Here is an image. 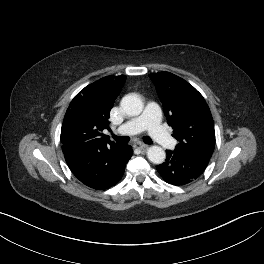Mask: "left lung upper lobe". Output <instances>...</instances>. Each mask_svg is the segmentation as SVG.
Returning a JSON list of instances; mask_svg holds the SVG:
<instances>
[{
  "label": "left lung upper lobe",
  "instance_id": "1",
  "mask_svg": "<svg viewBox=\"0 0 264 264\" xmlns=\"http://www.w3.org/2000/svg\"><path fill=\"white\" fill-rule=\"evenodd\" d=\"M163 104L179 155L209 160L215 147L214 122L202 95L182 78L169 73L150 74Z\"/></svg>",
  "mask_w": 264,
  "mask_h": 264
}]
</instances>
